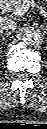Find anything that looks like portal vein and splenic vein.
Wrapping results in <instances>:
<instances>
[{
    "label": "portal vein and splenic vein",
    "mask_w": 47,
    "mask_h": 129,
    "mask_svg": "<svg viewBox=\"0 0 47 129\" xmlns=\"http://www.w3.org/2000/svg\"><path fill=\"white\" fill-rule=\"evenodd\" d=\"M24 3H27V5L18 6L17 9L15 10V12L13 13L15 16L24 15L26 13V11L29 9L30 0L29 1L26 0V1H24Z\"/></svg>",
    "instance_id": "obj_1"
}]
</instances>
